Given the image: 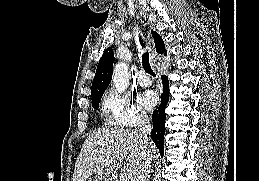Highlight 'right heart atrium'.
<instances>
[{"label": "right heart atrium", "instance_id": "d8ad5b80", "mask_svg": "<svg viewBox=\"0 0 259 181\" xmlns=\"http://www.w3.org/2000/svg\"><path fill=\"white\" fill-rule=\"evenodd\" d=\"M101 108L105 123L111 127L133 128L147 121L146 113L135 104L133 98L115 89L104 94Z\"/></svg>", "mask_w": 259, "mask_h": 181}]
</instances>
